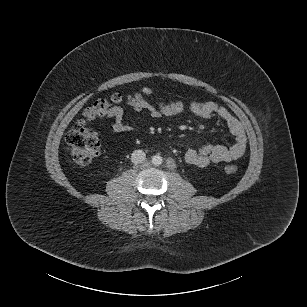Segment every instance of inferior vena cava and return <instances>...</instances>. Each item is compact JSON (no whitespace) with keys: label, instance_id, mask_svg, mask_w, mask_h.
<instances>
[{"label":"inferior vena cava","instance_id":"1","mask_svg":"<svg viewBox=\"0 0 307 307\" xmlns=\"http://www.w3.org/2000/svg\"><path fill=\"white\" fill-rule=\"evenodd\" d=\"M145 159H146V154L141 149L135 150L131 155V160L135 164H140L143 161H145Z\"/></svg>","mask_w":307,"mask_h":307}]
</instances>
